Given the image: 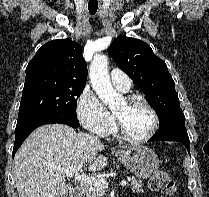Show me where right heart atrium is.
Wrapping results in <instances>:
<instances>
[{
	"instance_id": "obj_1",
	"label": "right heart atrium",
	"mask_w": 209,
	"mask_h": 197,
	"mask_svg": "<svg viewBox=\"0 0 209 197\" xmlns=\"http://www.w3.org/2000/svg\"><path fill=\"white\" fill-rule=\"evenodd\" d=\"M76 108L80 122L90 132L98 136H106L112 131L113 115L89 88L81 92Z\"/></svg>"
}]
</instances>
